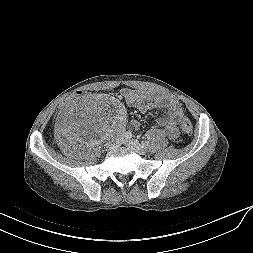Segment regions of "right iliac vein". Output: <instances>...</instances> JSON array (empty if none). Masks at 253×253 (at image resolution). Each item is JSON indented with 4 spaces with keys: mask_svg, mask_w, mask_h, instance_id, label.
Wrapping results in <instances>:
<instances>
[{
    "mask_svg": "<svg viewBox=\"0 0 253 253\" xmlns=\"http://www.w3.org/2000/svg\"><path fill=\"white\" fill-rule=\"evenodd\" d=\"M123 141H124L123 136L118 137V138L115 140V142L112 144V147H113V148L118 147L119 145H121V144L123 143Z\"/></svg>",
    "mask_w": 253,
    "mask_h": 253,
    "instance_id": "63e3f726",
    "label": "right iliac vein"
}]
</instances>
